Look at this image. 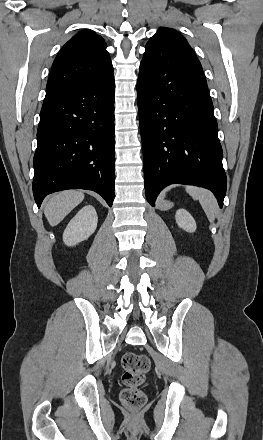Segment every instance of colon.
I'll return each mask as SVG.
<instances>
[{
  "instance_id": "5ec220e1",
  "label": "colon",
  "mask_w": 263,
  "mask_h": 440,
  "mask_svg": "<svg viewBox=\"0 0 263 440\" xmlns=\"http://www.w3.org/2000/svg\"><path fill=\"white\" fill-rule=\"evenodd\" d=\"M121 381L124 388L120 392V401L128 409L140 410L147 402L146 394L141 389L150 370L151 362L147 355L127 352L121 360Z\"/></svg>"
}]
</instances>
